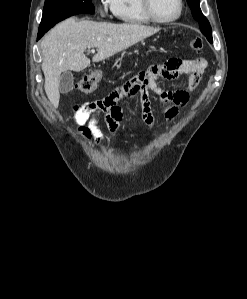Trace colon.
<instances>
[{"label":"colon","mask_w":247,"mask_h":299,"mask_svg":"<svg viewBox=\"0 0 247 299\" xmlns=\"http://www.w3.org/2000/svg\"><path fill=\"white\" fill-rule=\"evenodd\" d=\"M189 44L191 49L196 52L201 51L203 48V41L199 37L191 39ZM101 77L102 75L100 72H93L91 74L84 75L78 81L77 89L83 94H91L96 89Z\"/></svg>","instance_id":"colon-1"}]
</instances>
